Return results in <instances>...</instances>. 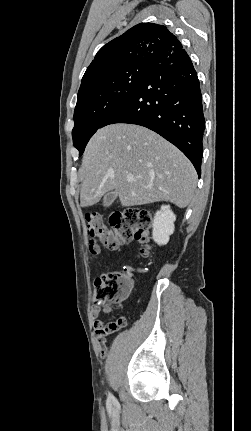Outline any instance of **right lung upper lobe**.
<instances>
[{
    "label": "right lung upper lobe",
    "mask_w": 251,
    "mask_h": 431,
    "mask_svg": "<svg viewBox=\"0 0 251 431\" xmlns=\"http://www.w3.org/2000/svg\"><path fill=\"white\" fill-rule=\"evenodd\" d=\"M182 44L165 26L140 23L104 45L87 68L79 91L151 57L181 50Z\"/></svg>",
    "instance_id": "cb5924a9"
}]
</instances>
